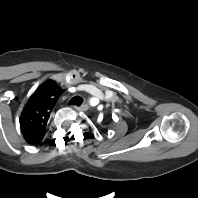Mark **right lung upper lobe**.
<instances>
[{
  "label": "right lung upper lobe",
  "instance_id": "1",
  "mask_svg": "<svg viewBox=\"0 0 198 198\" xmlns=\"http://www.w3.org/2000/svg\"><path fill=\"white\" fill-rule=\"evenodd\" d=\"M63 92L55 81L48 80L29 98L20 117V128L28 143L37 144L43 139L50 113Z\"/></svg>",
  "mask_w": 198,
  "mask_h": 198
}]
</instances>
